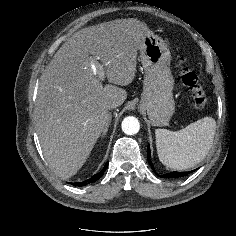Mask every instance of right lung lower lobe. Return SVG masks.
Here are the masks:
<instances>
[{
  "mask_svg": "<svg viewBox=\"0 0 236 236\" xmlns=\"http://www.w3.org/2000/svg\"><path fill=\"white\" fill-rule=\"evenodd\" d=\"M108 163L105 165V167L97 174L93 175L91 178H89L88 180H85L83 182H77V183H73L74 186H85L87 184L93 183L95 181H97L99 178L102 177V175L104 174L106 168H107Z\"/></svg>",
  "mask_w": 236,
  "mask_h": 236,
  "instance_id": "98d812e1",
  "label": "right lung lower lobe"
}]
</instances>
